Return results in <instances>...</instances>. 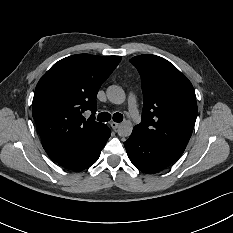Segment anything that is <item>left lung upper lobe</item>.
Segmentation results:
<instances>
[{"mask_svg": "<svg viewBox=\"0 0 233 233\" xmlns=\"http://www.w3.org/2000/svg\"><path fill=\"white\" fill-rule=\"evenodd\" d=\"M130 62L142 81V122L134 130L155 143L184 151L194 129L197 102L191 82L169 61L144 54Z\"/></svg>", "mask_w": 233, "mask_h": 233, "instance_id": "1", "label": "left lung upper lobe"}]
</instances>
